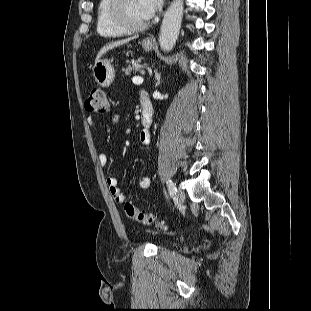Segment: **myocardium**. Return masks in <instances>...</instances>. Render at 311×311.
I'll list each match as a JSON object with an SVG mask.
<instances>
[{"label": "myocardium", "instance_id": "1", "mask_svg": "<svg viewBox=\"0 0 311 311\" xmlns=\"http://www.w3.org/2000/svg\"><path fill=\"white\" fill-rule=\"evenodd\" d=\"M125 3L126 0H110L108 12L112 21L125 32H140L145 30L149 25V21L147 20L141 24L130 23L126 18Z\"/></svg>", "mask_w": 311, "mask_h": 311}]
</instances>
